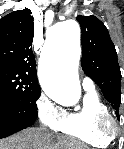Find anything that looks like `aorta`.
<instances>
[{
	"mask_svg": "<svg viewBox=\"0 0 124 149\" xmlns=\"http://www.w3.org/2000/svg\"><path fill=\"white\" fill-rule=\"evenodd\" d=\"M79 59V24L71 19L57 23L39 64V82L47 96L65 105H74L79 101Z\"/></svg>",
	"mask_w": 124,
	"mask_h": 149,
	"instance_id": "1",
	"label": "aorta"
}]
</instances>
